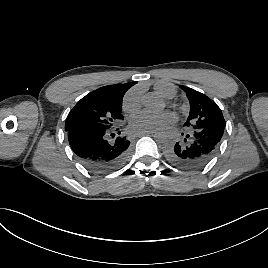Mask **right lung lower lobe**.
<instances>
[{
	"mask_svg": "<svg viewBox=\"0 0 268 268\" xmlns=\"http://www.w3.org/2000/svg\"><path fill=\"white\" fill-rule=\"evenodd\" d=\"M117 130L71 128L67 130L68 141L78 160L87 169L108 173L123 165L130 145L124 136L114 138L113 133Z\"/></svg>",
	"mask_w": 268,
	"mask_h": 268,
	"instance_id": "obj_1",
	"label": "right lung lower lobe"
}]
</instances>
